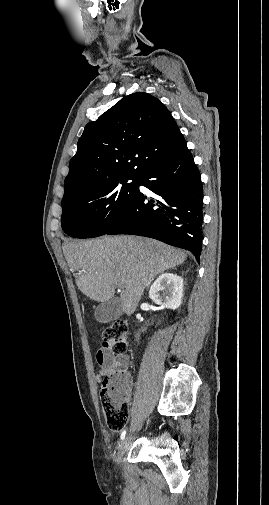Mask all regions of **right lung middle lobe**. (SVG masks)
I'll return each mask as SVG.
<instances>
[{"mask_svg": "<svg viewBox=\"0 0 269 505\" xmlns=\"http://www.w3.org/2000/svg\"><path fill=\"white\" fill-rule=\"evenodd\" d=\"M138 179H121L85 189L62 201V229L75 238L106 234L139 192Z\"/></svg>", "mask_w": 269, "mask_h": 505, "instance_id": "obj_1", "label": "right lung middle lobe"}]
</instances>
